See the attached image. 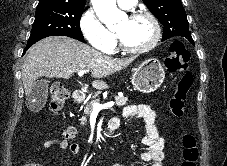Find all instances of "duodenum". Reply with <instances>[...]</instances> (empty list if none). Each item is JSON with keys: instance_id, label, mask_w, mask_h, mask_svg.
Here are the masks:
<instances>
[{"instance_id": "obj_1", "label": "duodenum", "mask_w": 227, "mask_h": 166, "mask_svg": "<svg viewBox=\"0 0 227 166\" xmlns=\"http://www.w3.org/2000/svg\"><path fill=\"white\" fill-rule=\"evenodd\" d=\"M84 100H85V96L81 91L77 90L74 92V102L75 103H82ZM116 127H117L116 121L114 118H112L109 122V128H110V130H114V129H116Z\"/></svg>"}]
</instances>
